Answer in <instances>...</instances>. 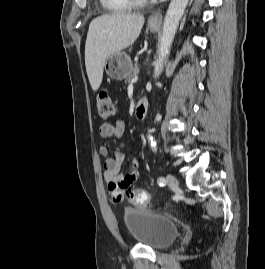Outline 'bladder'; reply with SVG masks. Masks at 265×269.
I'll list each match as a JSON object with an SVG mask.
<instances>
[{
    "label": "bladder",
    "mask_w": 265,
    "mask_h": 269,
    "mask_svg": "<svg viewBox=\"0 0 265 269\" xmlns=\"http://www.w3.org/2000/svg\"><path fill=\"white\" fill-rule=\"evenodd\" d=\"M122 218L127 232L138 244L155 250L170 246L180 232L174 221L145 209L126 208Z\"/></svg>",
    "instance_id": "obj_1"
}]
</instances>
